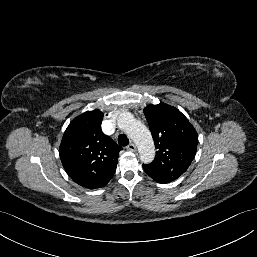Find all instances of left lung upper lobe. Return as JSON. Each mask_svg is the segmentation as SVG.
<instances>
[{
  "instance_id": "left-lung-upper-lobe-1",
  "label": "left lung upper lobe",
  "mask_w": 257,
  "mask_h": 257,
  "mask_svg": "<svg viewBox=\"0 0 257 257\" xmlns=\"http://www.w3.org/2000/svg\"><path fill=\"white\" fill-rule=\"evenodd\" d=\"M143 112L157 149L153 162L143 164V168L155 181L171 182L180 177L194 159L197 132L178 109L168 104L148 105Z\"/></svg>"
}]
</instances>
